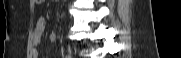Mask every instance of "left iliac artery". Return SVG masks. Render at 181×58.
<instances>
[{
  "instance_id": "obj_1",
  "label": "left iliac artery",
  "mask_w": 181,
  "mask_h": 58,
  "mask_svg": "<svg viewBox=\"0 0 181 58\" xmlns=\"http://www.w3.org/2000/svg\"><path fill=\"white\" fill-rule=\"evenodd\" d=\"M66 58H71V55H70V54H69V55H67V56H66Z\"/></svg>"
}]
</instances>
